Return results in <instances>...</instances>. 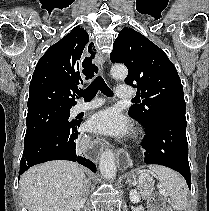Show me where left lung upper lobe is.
Instances as JSON below:
<instances>
[{"instance_id":"obj_1","label":"left lung upper lobe","mask_w":209,"mask_h":211,"mask_svg":"<svg viewBox=\"0 0 209 211\" xmlns=\"http://www.w3.org/2000/svg\"><path fill=\"white\" fill-rule=\"evenodd\" d=\"M113 63L128 68L126 84L137 88L142 103L131 106L129 116L144 127L163 117L185 115L183 87L173 63L162 49L132 28L119 33L110 54Z\"/></svg>"}]
</instances>
